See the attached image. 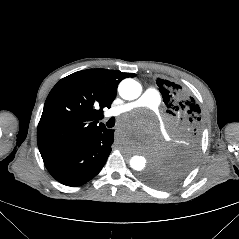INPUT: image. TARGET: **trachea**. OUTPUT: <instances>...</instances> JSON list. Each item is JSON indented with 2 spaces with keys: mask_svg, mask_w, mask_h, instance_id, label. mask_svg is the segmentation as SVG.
Masks as SVG:
<instances>
[{
  "mask_svg": "<svg viewBox=\"0 0 239 239\" xmlns=\"http://www.w3.org/2000/svg\"><path fill=\"white\" fill-rule=\"evenodd\" d=\"M106 125L108 128L113 127L115 125V118L114 117L110 118L108 122L106 123Z\"/></svg>",
  "mask_w": 239,
  "mask_h": 239,
  "instance_id": "trachea-1",
  "label": "trachea"
}]
</instances>
